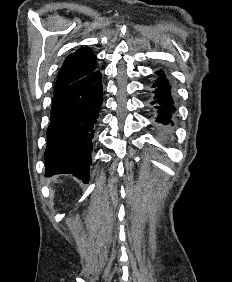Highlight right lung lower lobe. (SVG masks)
<instances>
[{"label":"right lung lower lobe","instance_id":"98d812e1","mask_svg":"<svg viewBox=\"0 0 232 282\" xmlns=\"http://www.w3.org/2000/svg\"><path fill=\"white\" fill-rule=\"evenodd\" d=\"M99 70L55 90L47 130L45 176L73 174L89 181L92 140L102 104Z\"/></svg>","mask_w":232,"mask_h":282}]
</instances>
